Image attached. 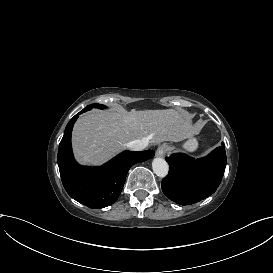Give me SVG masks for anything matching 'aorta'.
Instances as JSON below:
<instances>
[{"label": "aorta", "mask_w": 273, "mask_h": 273, "mask_svg": "<svg viewBox=\"0 0 273 273\" xmlns=\"http://www.w3.org/2000/svg\"><path fill=\"white\" fill-rule=\"evenodd\" d=\"M153 172L161 178L167 176L169 165L163 158H155L152 162Z\"/></svg>", "instance_id": "762f6f07"}]
</instances>
